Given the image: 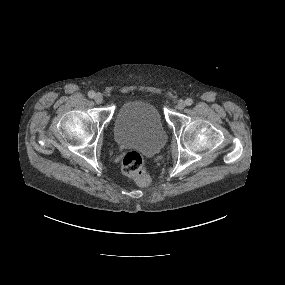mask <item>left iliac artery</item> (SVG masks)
Returning a JSON list of instances; mask_svg holds the SVG:
<instances>
[{
    "mask_svg": "<svg viewBox=\"0 0 285 285\" xmlns=\"http://www.w3.org/2000/svg\"><path fill=\"white\" fill-rule=\"evenodd\" d=\"M185 103H186L187 106H190V105L193 104V100H192L191 98H187V99L185 100Z\"/></svg>",
    "mask_w": 285,
    "mask_h": 285,
    "instance_id": "left-iliac-artery-1",
    "label": "left iliac artery"
}]
</instances>
